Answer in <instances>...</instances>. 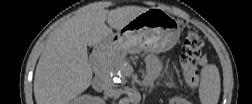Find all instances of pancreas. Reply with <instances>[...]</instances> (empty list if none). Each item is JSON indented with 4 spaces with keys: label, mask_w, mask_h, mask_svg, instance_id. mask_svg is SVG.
Wrapping results in <instances>:
<instances>
[{
    "label": "pancreas",
    "mask_w": 252,
    "mask_h": 104,
    "mask_svg": "<svg viewBox=\"0 0 252 104\" xmlns=\"http://www.w3.org/2000/svg\"><path fill=\"white\" fill-rule=\"evenodd\" d=\"M114 68V64L112 62H109L105 68H104V72L109 73L112 69Z\"/></svg>",
    "instance_id": "obj_1"
}]
</instances>
